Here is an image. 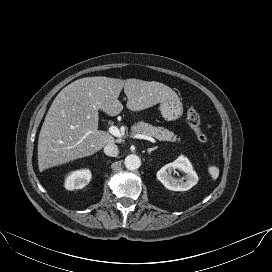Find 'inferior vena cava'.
I'll list each match as a JSON object with an SVG mask.
<instances>
[{
  "instance_id": "inferior-vena-cava-1",
  "label": "inferior vena cava",
  "mask_w": 272,
  "mask_h": 272,
  "mask_svg": "<svg viewBox=\"0 0 272 272\" xmlns=\"http://www.w3.org/2000/svg\"><path fill=\"white\" fill-rule=\"evenodd\" d=\"M104 153L108 156L116 157L119 154V149L114 143H108L104 146Z\"/></svg>"
}]
</instances>
